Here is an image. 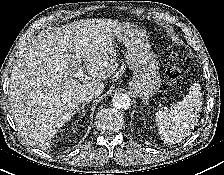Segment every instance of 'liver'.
<instances>
[{
    "label": "liver",
    "instance_id": "obj_1",
    "mask_svg": "<svg viewBox=\"0 0 224 175\" xmlns=\"http://www.w3.org/2000/svg\"><path fill=\"white\" fill-rule=\"evenodd\" d=\"M122 24L82 19L41 31L13 67L8 100L20 135L31 145L49 146L56 131L78 111L79 96L104 89L119 64L113 37ZM79 68L88 76L74 77Z\"/></svg>",
    "mask_w": 224,
    "mask_h": 175
}]
</instances>
